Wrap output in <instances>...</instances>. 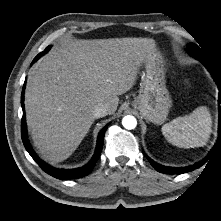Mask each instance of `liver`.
<instances>
[{"instance_id": "liver-1", "label": "liver", "mask_w": 221, "mask_h": 221, "mask_svg": "<svg viewBox=\"0 0 221 221\" xmlns=\"http://www.w3.org/2000/svg\"><path fill=\"white\" fill-rule=\"evenodd\" d=\"M156 52L148 38L69 40L32 66L26 121L35 147L51 163L67 159L88 133L98 104L117 110L142 63Z\"/></svg>"}]
</instances>
